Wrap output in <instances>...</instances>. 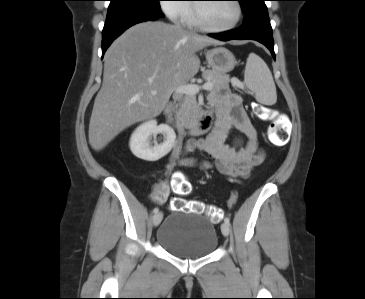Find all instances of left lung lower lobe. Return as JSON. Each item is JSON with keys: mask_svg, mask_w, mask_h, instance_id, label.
Instances as JSON below:
<instances>
[{"mask_svg": "<svg viewBox=\"0 0 365 299\" xmlns=\"http://www.w3.org/2000/svg\"><path fill=\"white\" fill-rule=\"evenodd\" d=\"M245 15L244 22L238 30L223 33H213L209 36L227 40H256L264 44L275 59L273 31L270 25L268 10L266 5L258 6Z\"/></svg>", "mask_w": 365, "mask_h": 299, "instance_id": "0a47b994", "label": "left lung lower lobe"}]
</instances>
